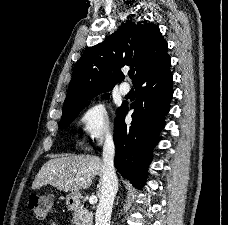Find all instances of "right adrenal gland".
Wrapping results in <instances>:
<instances>
[{"label":"right adrenal gland","mask_w":228,"mask_h":225,"mask_svg":"<svg viewBox=\"0 0 228 225\" xmlns=\"http://www.w3.org/2000/svg\"><path fill=\"white\" fill-rule=\"evenodd\" d=\"M118 201H119V197H118V199H117V203H116V205H118Z\"/></svg>","instance_id":"2a0ac1e0"}]
</instances>
